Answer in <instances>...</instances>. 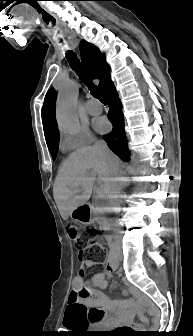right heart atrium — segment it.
Instances as JSON below:
<instances>
[{
    "label": "right heart atrium",
    "instance_id": "d8ad5b80",
    "mask_svg": "<svg viewBox=\"0 0 193 336\" xmlns=\"http://www.w3.org/2000/svg\"><path fill=\"white\" fill-rule=\"evenodd\" d=\"M94 140L87 127L82 126L75 132L64 133L61 137V146L64 150H78L84 148Z\"/></svg>",
    "mask_w": 193,
    "mask_h": 336
}]
</instances>
